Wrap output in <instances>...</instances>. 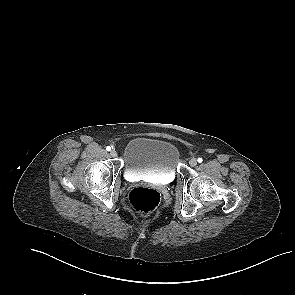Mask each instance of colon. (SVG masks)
<instances>
[{"label":"colon","mask_w":295,"mask_h":295,"mask_svg":"<svg viewBox=\"0 0 295 295\" xmlns=\"http://www.w3.org/2000/svg\"><path fill=\"white\" fill-rule=\"evenodd\" d=\"M160 199L159 192L152 188L138 187L128 194L129 204L141 215L153 212L158 207Z\"/></svg>","instance_id":"colon-1"}]
</instances>
